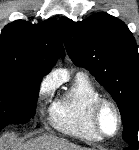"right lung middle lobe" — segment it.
<instances>
[{
	"instance_id": "dd1d6c3e",
	"label": "right lung middle lobe",
	"mask_w": 139,
	"mask_h": 150,
	"mask_svg": "<svg viewBox=\"0 0 139 150\" xmlns=\"http://www.w3.org/2000/svg\"><path fill=\"white\" fill-rule=\"evenodd\" d=\"M41 80L31 71L0 68V130L33 118Z\"/></svg>"
}]
</instances>
